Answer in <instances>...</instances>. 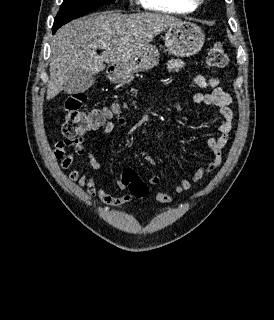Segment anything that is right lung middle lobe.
Segmentation results:
<instances>
[{
	"mask_svg": "<svg viewBox=\"0 0 274 320\" xmlns=\"http://www.w3.org/2000/svg\"><path fill=\"white\" fill-rule=\"evenodd\" d=\"M115 0H64L54 20L53 29H58L69 21L84 16L90 11L113 3Z\"/></svg>",
	"mask_w": 274,
	"mask_h": 320,
	"instance_id": "right-lung-middle-lobe-1",
	"label": "right lung middle lobe"
}]
</instances>
